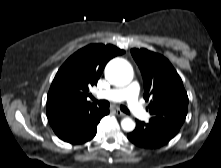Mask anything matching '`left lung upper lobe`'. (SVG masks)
<instances>
[{
	"label": "left lung upper lobe",
	"mask_w": 221,
	"mask_h": 168,
	"mask_svg": "<svg viewBox=\"0 0 221 168\" xmlns=\"http://www.w3.org/2000/svg\"><path fill=\"white\" fill-rule=\"evenodd\" d=\"M131 54L143 77L144 99L149 101V122L178 133L188 110L183 82L162 55L147 49H132Z\"/></svg>",
	"instance_id": "5c2ea615"
}]
</instances>
